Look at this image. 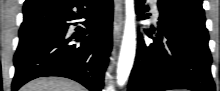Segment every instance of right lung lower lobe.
Wrapping results in <instances>:
<instances>
[{
	"label": "right lung lower lobe",
	"instance_id": "1",
	"mask_svg": "<svg viewBox=\"0 0 220 91\" xmlns=\"http://www.w3.org/2000/svg\"><path fill=\"white\" fill-rule=\"evenodd\" d=\"M12 90L42 76L101 91L112 47L113 0H56L24 10ZM85 18L82 26L74 20Z\"/></svg>",
	"mask_w": 220,
	"mask_h": 91
}]
</instances>
